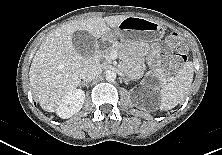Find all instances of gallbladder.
Wrapping results in <instances>:
<instances>
[{
    "mask_svg": "<svg viewBox=\"0 0 222 155\" xmlns=\"http://www.w3.org/2000/svg\"><path fill=\"white\" fill-rule=\"evenodd\" d=\"M76 51L83 57H91L95 50V38L87 31H76L72 34Z\"/></svg>",
    "mask_w": 222,
    "mask_h": 155,
    "instance_id": "1",
    "label": "gallbladder"
}]
</instances>
